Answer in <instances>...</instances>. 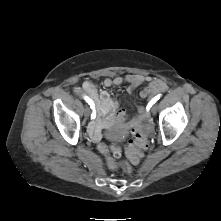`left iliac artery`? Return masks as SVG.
<instances>
[{
  "mask_svg": "<svg viewBox=\"0 0 221 221\" xmlns=\"http://www.w3.org/2000/svg\"><path fill=\"white\" fill-rule=\"evenodd\" d=\"M161 97V95H157L156 97H154L148 104L147 109H150V107H152V105Z\"/></svg>",
  "mask_w": 221,
  "mask_h": 221,
  "instance_id": "left-iliac-artery-1",
  "label": "left iliac artery"
}]
</instances>
